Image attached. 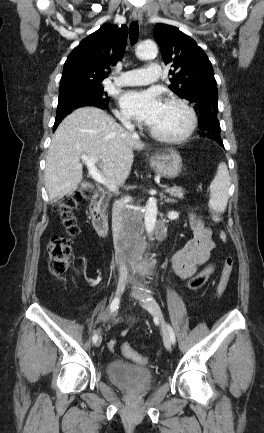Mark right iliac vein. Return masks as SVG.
<instances>
[{
    "label": "right iliac vein",
    "instance_id": "63e3f726",
    "mask_svg": "<svg viewBox=\"0 0 264 433\" xmlns=\"http://www.w3.org/2000/svg\"><path fill=\"white\" fill-rule=\"evenodd\" d=\"M127 282H128V280L125 279V278H120V279H119V281H118V285H117V290H116V296H117V297H120V296L123 294ZM101 343H102V337L99 336V338L97 339L95 345H96L97 347H99V346L101 345Z\"/></svg>",
    "mask_w": 264,
    "mask_h": 433
}]
</instances>
